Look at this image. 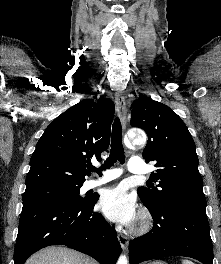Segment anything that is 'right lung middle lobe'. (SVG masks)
I'll use <instances>...</instances> for the list:
<instances>
[{
    "instance_id": "1",
    "label": "right lung middle lobe",
    "mask_w": 221,
    "mask_h": 264,
    "mask_svg": "<svg viewBox=\"0 0 221 264\" xmlns=\"http://www.w3.org/2000/svg\"><path fill=\"white\" fill-rule=\"evenodd\" d=\"M83 183L54 182L34 188L26 189L23 195V203L28 201H54L58 203L81 204L89 197L79 195Z\"/></svg>"
}]
</instances>
